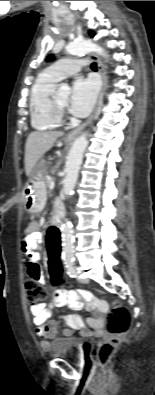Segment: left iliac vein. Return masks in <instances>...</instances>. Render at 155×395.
<instances>
[{"label":"left iliac vein","instance_id":"left-iliac-vein-1","mask_svg":"<svg viewBox=\"0 0 155 395\" xmlns=\"http://www.w3.org/2000/svg\"><path fill=\"white\" fill-rule=\"evenodd\" d=\"M77 279H78V281L80 282V283H83V284H86V283H88V280L87 279H84V278H81V277H77Z\"/></svg>","mask_w":155,"mask_h":395}]
</instances>
